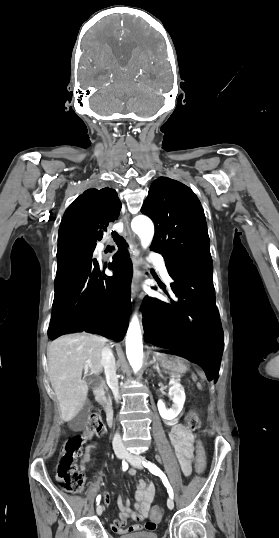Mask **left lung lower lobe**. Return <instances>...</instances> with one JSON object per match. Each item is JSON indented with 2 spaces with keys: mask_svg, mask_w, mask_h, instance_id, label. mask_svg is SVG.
<instances>
[{
  "mask_svg": "<svg viewBox=\"0 0 279 538\" xmlns=\"http://www.w3.org/2000/svg\"><path fill=\"white\" fill-rule=\"evenodd\" d=\"M166 267L175 281L171 290L178 299L167 302L144 299L141 307L144 338L155 346L192 358L211 381L218 375L223 351L213 266L181 267L166 262Z\"/></svg>",
  "mask_w": 279,
  "mask_h": 538,
  "instance_id": "1",
  "label": "left lung lower lobe"
}]
</instances>
